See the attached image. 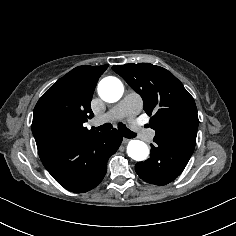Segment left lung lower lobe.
I'll return each instance as SVG.
<instances>
[{"mask_svg": "<svg viewBox=\"0 0 236 236\" xmlns=\"http://www.w3.org/2000/svg\"><path fill=\"white\" fill-rule=\"evenodd\" d=\"M193 151L168 141L154 139L150 158L138 162L135 170L139 177L155 185H165L175 180L186 167Z\"/></svg>", "mask_w": 236, "mask_h": 236, "instance_id": "left-lung-lower-lobe-1", "label": "left lung lower lobe"}]
</instances>
